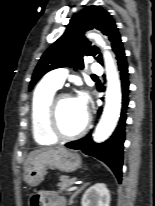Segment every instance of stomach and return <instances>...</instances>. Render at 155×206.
Masks as SVG:
<instances>
[{
    "label": "stomach",
    "mask_w": 155,
    "mask_h": 206,
    "mask_svg": "<svg viewBox=\"0 0 155 206\" xmlns=\"http://www.w3.org/2000/svg\"><path fill=\"white\" fill-rule=\"evenodd\" d=\"M82 160L79 154L64 147L42 151L33 156L25 171V182L38 186L47 174L48 168H56L63 172H74L81 168Z\"/></svg>",
    "instance_id": "obj_1"
}]
</instances>
